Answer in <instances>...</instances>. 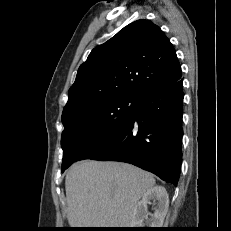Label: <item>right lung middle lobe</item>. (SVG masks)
Wrapping results in <instances>:
<instances>
[{"label": "right lung middle lobe", "instance_id": "obj_1", "mask_svg": "<svg viewBox=\"0 0 231 231\" xmlns=\"http://www.w3.org/2000/svg\"><path fill=\"white\" fill-rule=\"evenodd\" d=\"M135 109V96H120L63 115L62 172L116 132Z\"/></svg>", "mask_w": 231, "mask_h": 231}]
</instances>
